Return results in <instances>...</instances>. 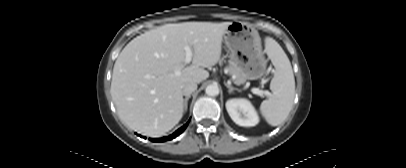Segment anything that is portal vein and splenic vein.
I'll use <instances>...</instances> for the list:
<instances>
[{"instance_id": "18ae733b", "label": "portal vein and splenic vein", "mask_w": 406, "mask_h": 168, "mask_svg": "<svg viewBox=\"0 0 406 168\" xmlns=\"http://www.w3.org/2000/svg\"><path fill=\"white\" fill-rule=\"evenodd\" d=\"M186 56H185V60H184V64H189L192 60V56H193V52L191 50V48L189 46H185L184 48ZM176 75L180 74V71H176L175 72ZM252 93L259 95L261 97L263 96H271V93L267 90H260L258 88H252Z\"/></svg>"}]
</instances>
